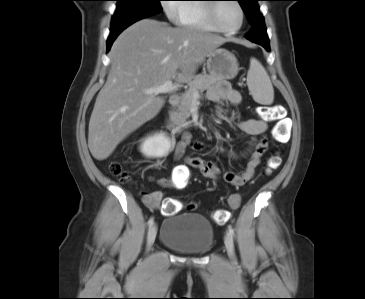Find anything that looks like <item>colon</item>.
<instances>
[{
	"instance_id": "5ec220e1",
	"label": "colon",
	"mask_w": 365,
	"mask_h": 299,
	"mask_svg": "<svg viewBox=\"0 0 365 299\" xmlns=\"http://www.w3.org/2000/svg\"><path fill=\"white\" fill-rule=\"evenodd\" d=\"M284 110L279 105H271V106H262L261 107V115L263 119L271 122H276V125L273 129V138L281 142L287 136V125L285 123ZM279 158L274 157L269 161L267 170L271 172L279 165ZM110 172L112 175L117 177L120 182L127 183L130 181V174L127 170H125L119 162H112L110 164ZM178 186H182L186 182V176L181 175L177 179ZM240 204V197L238 195H233L229 199V205L232 209H236ZM182 205L180 202L169 199L164 202L162 206V214L163 215H174L181 209ZM189 209L194 208V204H189ZM214 222L217 224H224L229 219V211L227 209H217L212 214Z\"/></svg>"
}]
</instances>
